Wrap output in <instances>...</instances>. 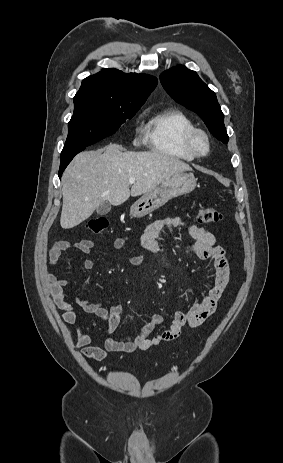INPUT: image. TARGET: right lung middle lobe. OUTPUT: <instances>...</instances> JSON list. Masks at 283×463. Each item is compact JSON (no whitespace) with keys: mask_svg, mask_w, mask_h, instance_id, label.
Instances as JSON below:
<instances>
[{"mask_svg":"<svg viewBox=\"0 0 283 463\" xmlns=\"http://www.w3.org/2000/svg\"><path fill=\"white\" fill-rule=\"evenodd\" d=\"M143 103L92 99L75 95L74 114L62 153L85 148L115 133Z\"/></svg>","mask_w":283,"mask_h":463,"instance_id":"dd1d6c3e","label":"right lung middle lobe"}]
</instances>
